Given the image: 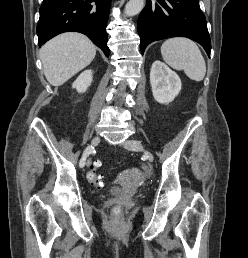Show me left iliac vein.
Returning a JSON list of instances; mask_svg holds the SVG:
<instances>
[{
  "label": "left iliac vein",
  "instance_id": "left-iliac-vein-1",
  "mask_svg": "<svg viewBox=\"0 0 248 258\" xmlns=\"http://www.w3.org/2000/svg\"><path fill=\"white\" fill-rule=\"evenodd\" d=\"M124 146L128 149L134 150V151H141L144 153L147 160L151 163L154 160V157L151 152L146 150L144 146L141 144V142L136 140H128L124 143Z\"/></svg>",
  "mask_w": 248,
  "mask_h": 258
}]
</instances>
